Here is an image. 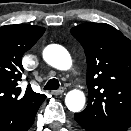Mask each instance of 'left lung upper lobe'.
I'll return each instance as SVG.
<instances>
[{
    "label": "left lung upper lobe",
    "mask_w": 131,
    "mask_h": 131,
    "mask_svg": "<svg viewBox=\"0 0 131 131\" xmlns=\"http://www.w3.org/2000/svg\"><path fill=\"white\" fill-rule=\"evenodd\" d=\"M87 59L88 105L80 112L100 131L131 126V41L105 23L86 22L70 30Z\"/></svg>",
    "instance_id": "left-lung-upper-lobe-1"
}]
</instances>
